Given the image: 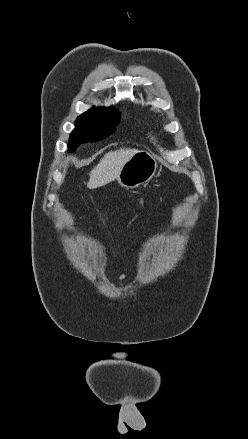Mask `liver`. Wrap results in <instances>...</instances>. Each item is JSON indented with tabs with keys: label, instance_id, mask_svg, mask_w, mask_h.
<instances>
[{
	"label": "liver",
	"instance_id": "1",
	"mask_svg": "<svg viewBox=\"0 0 248 439\" xmlns=\"http://www.w3.org/2000/svg\"><path fill=\"white\" fill-rule=\"evenodd\" d=\"M134 148H121L104 155L89 176L88 188L96 189L114 181L124 164L137 152Z\"/></svg>",
	"mask_w": 248,
	"mask_h": 439
}]
</instances>
